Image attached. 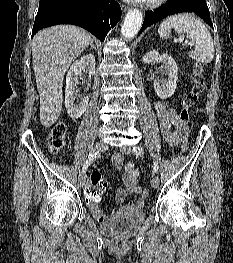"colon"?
Returning <instances> with one entry per match:
<instances>
[{
    "instance_id": "colon-1",
    "label": "colon",
    "mask_w": 233,
    "mask_h": 263,
    "mask_svg": "<svg viewBox=\"0 0 233 263\" xmlns=\"http://www.w3.org/2000/svg\"><path fill=\"white\" fill-rule=\"evenodd\" d=\"M193 85L190 91L187 93L183 100V107L179 113V118L182 123V131L184 135V142L182 148L185 150L187 148V135L189 132V110L192 108L199 97L205 90V78L203 74V68L200 64L196 63L193 68ZM66 132L67 127L64 123L59 122L55 124L48 135L46 142L49 151L52 154L59 153L66 145ZM129 169L132 170V166L129 165ZM105 173L104 169H93L91 171V178L87 190L84 191L85 202H99L102 194L106 190V181L103 179L102 175ZM148 197V190L144 189L141 194V201L146 202ZM89 205L90 207L92 205Z\"/></svg>"
}]
</instances>
